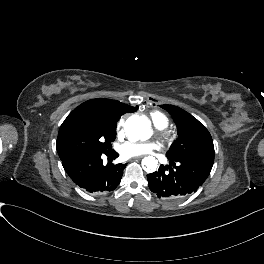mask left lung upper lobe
Listing matches in <instances>:
<instances>
[{
	"label": "left lung upper lobe",
	"mask_w": 264,
	"mask_h": 264,
	"mask_svg": "<svg viewBox=\"0 0 264 264\" xmlns=\"http://www.w3.org/2000/svg\"><path fill=\"white\" fill-rule=\"evenodd\" d=\"M177 123V139L166 156L168 165L156 173L166 182L193 192L209 176L214 162V145L208 130L192 115L173 105H161Z\"/></svg>",
	"instance_id": "left-lung-upper-lobe-1"
}]
</instances>
